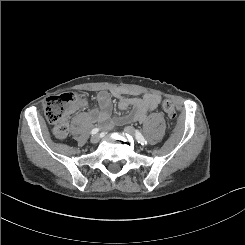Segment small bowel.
I'll use <instances>...</instances> for the list:
<instances>
[{
    "mask_svg": "<svg viewBox=\"0 0 245 245\" xmlns=\"http://www.w3.org/2000/svg\"><path fill=\"white\" fill-rule=\"evenodd\" d=\"M113 95L119 99V109L124 111L131 107L132 110L125 116V122H144L147 118V113L158 108L161 97L157 94L146 93L140 97H128L121 91H114ZM98 108L90 111V116L93 120L98 122H105L110 118L112 113V97L107 91H101L97 94ZM86 101L83 100L79 103V107H84Z\"/></svg>",
    "mask_w": 245,
    "mask_h": 245,
    "instance_id": "c3829d8e",
    "label": "small bowel"
}]
</instances>
